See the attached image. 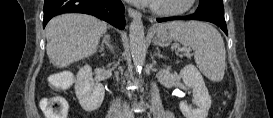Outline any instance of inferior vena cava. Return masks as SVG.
I'll use <instances>...</instances> for the list:
<instances>
[{"mask_svg":"<svg viewBox=\"0 0 273 118\" xmlns=\"http://www.w3.org/2000/svg\"><path fill=\"white\" fill-rule=\"evenodd\" d=\"M123 115L125 118H133V113L129 110V108L126 105L124 106Z\"/></svg>","mask_w":273,"mask_h":118,"instance_id":"602c4592","label":"inferior vena cava"}]
</instances>
